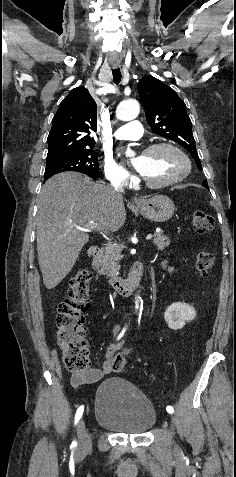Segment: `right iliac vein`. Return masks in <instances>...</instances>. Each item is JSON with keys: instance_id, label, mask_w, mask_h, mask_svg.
Returning <instances> with one entry per match:
<instances>
[{"instance_id": "right-iliac-vein-1", "label": "right iliac vein", "mask_w": 236, "mask_h": 477, "mask_svg": "<svg viewBox=\"0 0 236 477\" xmlns=\"http://www.w3.org/2000/svg\"><path fill=\"white\" fill-rule=\"evenodd\" d=\"M77 433H78V446L77 451L78 453H85L88 452L91 448V437L88 434L85 426L84 420H80L77 426Z\"/></svg>"}]
</instances>
